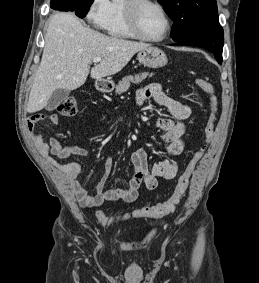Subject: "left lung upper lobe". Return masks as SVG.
Instances as JSON below:
<instances>
[{
  "label": "left lung upper lobe",
  "mask_w": 259,
  "mask_h": 283,
  "mask_svg": "<svg viewBox=\"0 0 259 283\" xmlns=\"http://www.w3.org/2000/svg\"><path fill=\"white\" fill-rule=\"evenodd\" d=\"M175 25L172 38L179 42L220 27L216 0H158Z\"/></svg>",
  "instance_id": "5c2ea615"
}]
</instances>
